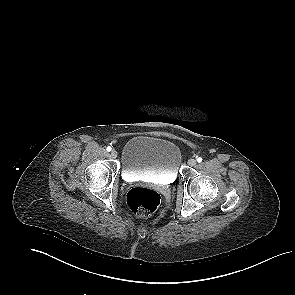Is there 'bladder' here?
Listing matches in <instances>:
<instances>
[{"instance_id":"31cf9c89","label":"bladder","mask_w":295,"mask_h":295,"mask_svg":"<svg viewBox=\"0 0 295 295\" xmlns=\"http://www.w3.org/2000/svg\"><path fill=\"white\" fill-rule=\"evenodd\" d=\"M181 151L172 141L152 136H135L122 148V172L126 177L148 176L173 182L179 171Z\"/></svg>"}]
</instances>
